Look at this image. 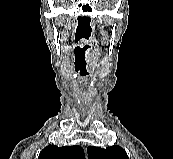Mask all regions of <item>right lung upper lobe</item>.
<instances>
[{"label":"right lung upper lobe","mask_w":173,"mask_h":159,"mask_svg":"<svg viewBox=\"0 0 173 159\" xmlns=\"http://www.w3.org/2000/svg\"><path fill=\"white\" fill-rule=\"evenodd\" d=\"M38 159H85V154L80 146L48 145L40 152Z\"/></svg>","instance_id":"cb5924a9"}]
</instances>
